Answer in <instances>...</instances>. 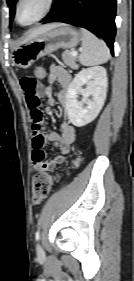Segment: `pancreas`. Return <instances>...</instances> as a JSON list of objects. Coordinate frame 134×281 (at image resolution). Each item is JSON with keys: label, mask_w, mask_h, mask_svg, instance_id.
Masks as SVG:
<instances>
[{"label": "pancreas", "mask_w": 134, "mask_h": 281, "mask_svg": "<svg viewBox=\"0 0 134 281\" xmlns=\"http://www.w3.org/2000/svg\"><path fill=\"white\" fill-rule=\"evenodd\" d=\"M62 59L66 65H68L72 69H78L79 65L76 63L77 57L71 55L70 51H64L62 54Z\"/></svg>", "instance_id": "1"}]
</instances>
